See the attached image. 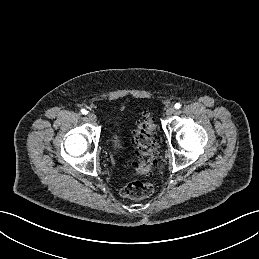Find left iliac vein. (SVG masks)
<instances>
[{
    "label": "left iliac vein",
    "mask_w": 259,
    "mask_h": 259,
    "mask_svg": "<svg viewBox=\"0 0 259 259\" xmlns=\"http://www.w3.org/2000/svg\"><path fill=\"white\" fill-rule=\"evenodd\" d=\"M175 113V108L173 106H170L166 110V115L167 116H172Z\"/></svg>",
    "instance_id": "obj_1"
}]
</instances>
